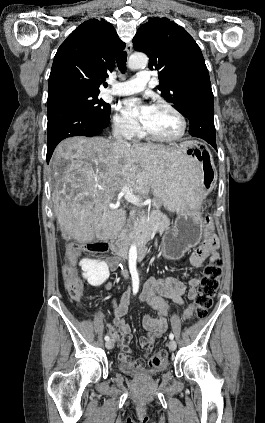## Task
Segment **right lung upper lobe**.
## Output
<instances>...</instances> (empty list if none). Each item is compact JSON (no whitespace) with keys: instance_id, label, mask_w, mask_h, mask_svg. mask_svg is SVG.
I'll return each instance as SVG.
<instances>
[{"instance_id":"cb5924a9","label":"right lung upper lobe","mask_w":265,"mask_h":423,"mask_svg":"<svg viewBox=\"0 0 265 423\" xmlns=\"http://www.w3.org/2000/svg\"><path fill=\"white\" fill-rule=\"evenodd\" d=\"M124 48L112 24L103 19L83 22L57 50L48 97L71 90L100 92L99 86L112 71L116 54Z\"/></svg>"}]
</instances>
